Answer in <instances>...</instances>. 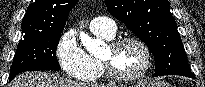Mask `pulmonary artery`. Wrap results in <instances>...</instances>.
Here are the masks:
<instances>
[{"instance_id": "1", "label": "pulmonary artery", "mask_w": 205, "mask_h": 87, "mask_svg": "<svg viewBox=\"0 0 205 87\" xmlns=\"http://www.w3.org/2000/svg\"><path fill=\"white\" fill-rule=\"evenodd\" d=\"M90 30L93 33H103L107 35H115L116 24L107 17H95L90 21Z\"/></svg>"}]
</instances>
